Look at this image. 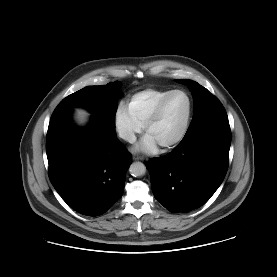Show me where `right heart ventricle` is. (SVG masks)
Instances as JSON below:
<instances>
[{"label":"right heart ventricle","mask_w":277,"mask_h":277,"mask_svg":"<svg viewBox=\"0 0 277 277\" xmlns=\"http://www.w3.org/2000/svg\"><path fill=\"white\" fill-rule=\"evenodd\" d=\"M173 89L148 88L133 94L127 107L133 118L142 126L146 123L159 101Z\"/></svg>","instance_id":"1"}]
</instances>
